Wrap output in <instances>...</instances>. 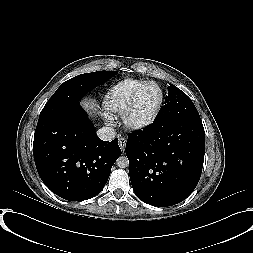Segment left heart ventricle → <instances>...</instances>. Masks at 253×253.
Listing matches in <instances>:
<instances>
[{
  "label": "left heart ventricle",
  "instance_id": "left-heart-ventricle-1",
  "mask_svg": "<svg viewBox=\"0 0 253 253\" xmlns=\"http://www.w3.org/2000/svg\"><path fill=\"white\" fill-rule=\"evenodd\" d=\"M160 101V91L155 85H148L139 98L138 106L134 113V119L143 121L155 110Z\"/></svg>",
  "mask_w": 253,
  "mask_h": 253
}]
</instances>
